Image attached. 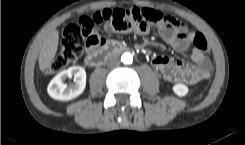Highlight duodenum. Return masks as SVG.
<instances>
[{
    "instance_id": "obj_1",
    "label": "duodenum",
    "mask_w": 245,
    "mask_h": 145,
    "mask_svg": "<svg viewBox=\"0 0 245 145\" xmlns=\"http://www.w3.org/2000/svg\"><path fill=\"white\" fill-rule=\"evenodd\" d=\"M124 50L131 49L118 42L107 41L98 48L90 50L85 56V62L90 67H98L103 64L107 58Z\"/></svg>"
}]
</instances>
